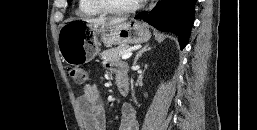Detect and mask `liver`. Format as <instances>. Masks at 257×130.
<instances>
[{"instance_id": "liver-1", "label": "liver", "mask_w": 257, "mask_h": 130, "mask_svg": "<svg viewBox=\"0 0 257 130\" xmlns=\"http://www.w3.org/2000/svg\"><path fill=\"white\" fill-rule=\"evenodd\" d=\"M127 18H111V19H107L104 17H99V18H89V19H85L84 21H86L90 26H110V25H115L121 22L126 21Z\"/></svg>"}]
</instances>
